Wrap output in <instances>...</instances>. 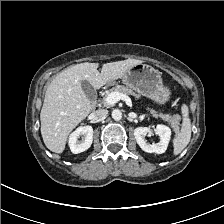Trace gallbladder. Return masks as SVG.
<instances>
[{
  "instance_id": "obj_1",
  "label": "gallbladder",
  "mask_w": 224,
  "mask_h": 224,
  "mask_svg": "<svg viewBox=\"0 0 224 224\" xmlns=\"http://www.w3.org/2000/svg\"><path fill=\"white\" fill-rule=\"evenodd\" d=\"M81 86L87 98L92 100L95 97V89L88 81H82Z\"/></svg>"
}]
</instances>
